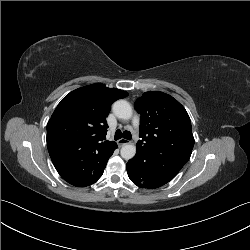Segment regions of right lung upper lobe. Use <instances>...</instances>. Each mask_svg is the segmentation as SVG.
<instances>
[{"mask_svg":"<svg viewBox=\"0 0 250 250\" xmlns=\"http://www.w3.org/2000/svg\"><path fill=\"white\" fill-rule=\"evenodd\" d=\"M128 93L96 83L66 95L47 124V148L60 176L85 187L103 174L108 158L118 147L106 140L110 106Z\"/></svg>","mask_w":250,"mask_h":250,"instance_id":"obj_1","label":"right lung upper lobe"}]
</instances>
